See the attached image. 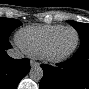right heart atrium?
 <instances>
[{"mask_svg":"<svg viewBox=\"0 0 89 89\" xmlns=\"http://www.w3.org/2000/svg\"><path fill=\"white\" fill-rule=\"evenodd\" d=\"M16 45H17V46H19V44H18L17 40H16ZM19 47H20V46H19Z\"/></svg>","mask_w":89,"mask_h":89,"instance_id":"d8ad5b80","label":"right heart atrium"}]
</instances>
